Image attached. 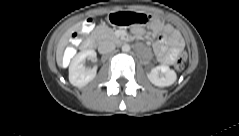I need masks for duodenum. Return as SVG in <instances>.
<instances>
[{"label":"duodenum","mask_w":239,"mask_h":136,"mask_svg":"<svg viewBox=\"0 0 239 136\" xmlns=\"http://www.w3.org/2000/svg\"><path fill=\"white\" fill-rule=\"evenodd\" d=\"M121 43H124V40H120ZM75 44L79 43L78 38H75ZM94 47V40L93 39H87L83 44H82V49L83 50H91Z\"/></svg>","instance_id":"duodenum-1"}]
</instances>
